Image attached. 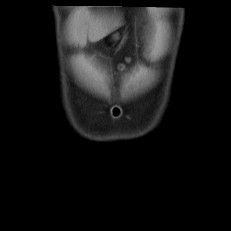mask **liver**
Segmentation results:
<instances>
[{
	"label": "liver",
	"mask_w": 231,
	"mask_h": 231,
	"mask_svg": "<svg viewBox=\"0 0 231 231\" xmlns=\"http://www.w3.org/2000/svg\"><path fill=\"white\" fill-rule=\"evenodd\" d=\"M118 21L100 20L91 21L85 8L74 11L70 23V35L74 43L84 46L87 37L96 42L108 34L114 27L120 26Z\"/></svg>",
	"instance_id": "1"
}]
</instances>
